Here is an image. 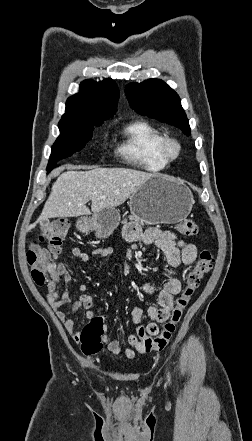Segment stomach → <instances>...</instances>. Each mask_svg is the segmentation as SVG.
<instances>
[{
	"label": "stomach",
	"mask_w": 252,
	"mask_h": 441,
	"mask_svg": "<svg viewBox=\"0 0 252 441\" xmlns=\"http://www.w3.org/2000/svg\"><path fill=\"white\" fill-rule=\"evenodd\" d=\"M128 204L132 214L148 224H174L187 218L194 199L182 183L164 175H154L131 195ZM119 222V212L109 208L89 219H79L77 227L81 231L94 232L97 238H107Z\"/></svg>",
	"instance_id": "obj_1"
}]
</instances>
